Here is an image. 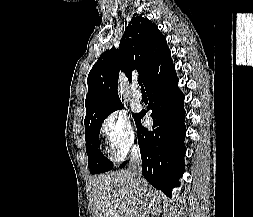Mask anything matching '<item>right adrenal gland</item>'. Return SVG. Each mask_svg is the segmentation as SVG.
<instances>
[{
  "instance_id": "1",
  "label": "right adrenal gland",
  "mask_w": 253,
  "mask_h": 217,
  "mask_svg": "<svg viewBox=\"0 0 253 217\" xmlns=\"http://www.w3.org/2000/svg\"><path fill=\"white\" fill-rule=\"evenodd\" d=\"M154 213H155V212H154ZM154 213H153V214H154ZM153 214H152V217L154 216ZM146 217H150V214H149V213H147V216H146Z\"/></svg>"
}]
</instances>
